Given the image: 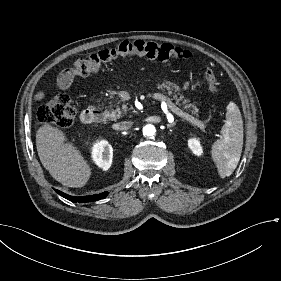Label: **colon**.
<instances>
[{
  "mask_svg": "<svg viewBox=\"0 0 281 281\" xmlns=\"http://www.w3.org/2000/svg\"><path fill=\"white\" fill-rule=\"evenodd\" d=\"M147 57L161 62L184 60L189 53L170 44L149 41L123 42L113 49L102 50L77 59L72 67L74 75L88 76L103 69L117 60L130 57ZM204 77L213 93L219 92V82L213 71L206 67ZM75 119V110L70 97L59 93L45 102L37 112V123L41 127L56 126L61 129L70 127Z\"/></svg>",
  "mask_w": 281,
  "mask_h": 281,
  "instance_id": "obj_1",
  "label": "colon"
}]
</instances>
